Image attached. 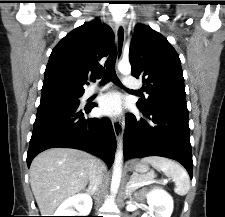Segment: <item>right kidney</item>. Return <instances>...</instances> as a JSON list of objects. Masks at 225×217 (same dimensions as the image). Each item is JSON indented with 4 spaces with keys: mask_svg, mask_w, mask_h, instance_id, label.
I'll use <instances>...</instances> for the list:
<instances>
[{
    "mask_svg": "<svg viewBox=\"0 0 225 217\" xmlns=\"http://www.w3.org/2000/svg\"><path fill=\"white\" fill-rule=\"evenodd\" d=\"M75 209L78 211L76 212ZM92 209V198L88 194H78L65 200L55 212V216H88Z\"/></svg>",
    "mask_w": 225,
    "mask_h": 217,
    "instance_id": "1",
    "label": "right kidney"
}]
</instances>
